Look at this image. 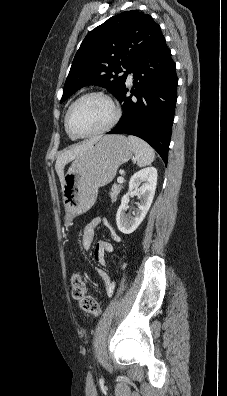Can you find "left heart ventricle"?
Returning a JSON list of instances; mask_svg holds the SVG:
<instances>
[{
    "mask_svg": "<svg viewBox=\"0 0 227 396\" xmlns=\"http://www.w3.org/2000/svg\"><path fill=\"white\" fill-rule=\"evenodd\" d=\"M112 116V108L105 99L88 97L73 108L70 125L76 133L86 134L105 126Z\"/></svg>",
    "mask_w": 227,
    "mask_h": 396,
    "instance_id": "left-heart-ventricle-1",
    "label": "left heart ventricle"
}]
</instances>
